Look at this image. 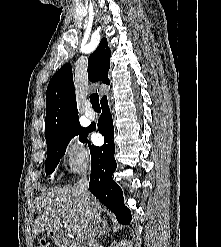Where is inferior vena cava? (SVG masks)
<instances>
[{"mask_svg": "<svg viewBox=\"0 0 221 247\" xmlns=\"http://www.w3.org/2000/svg\"><path fill=\"white\" fill-rule=\"evenodd\" d=\"M89 173L87 172V168L83 169L82 171V177L78 182L77 188L79 189L80 193L82 194V197L86 201V204L88 207H90L93 203L91 200V195L88 190V184H89V178H88ZM99 218L98 214L94 212V217H93V225L88 229V234L87 238L85 241V244L89 247L94 246L95 243V235L96 232L98 231V226L97 224L99 223Z\"/></svg>", "mask_w": 221, "mask_h": 247, "instance_id": "inferior-vena-cava-1", "label": "inferior vena cava"}]
</instances>
